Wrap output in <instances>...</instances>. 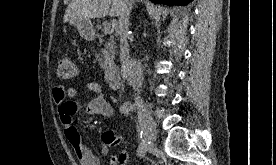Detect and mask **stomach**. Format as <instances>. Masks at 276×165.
I'll list each match as a JSON object with an SVG mask.
<instances>
[{
    "label": "stomach",
    "instance_id": "stomach-1",
    "mask_svg": "<svg viewBox=\"0 0 276 165\" xmlns=\"http://www.w3.org/2000/svg\"><path fill=\"white\" fill-rule=\"evenodd\" d=\"M69 23L77 28L80 35L86 40H92L95 32L90 19L88 18H75L69 19Z\"/></svg>",
    "mask_w": 276,
    "mask_h": 165
}]
</instances>
